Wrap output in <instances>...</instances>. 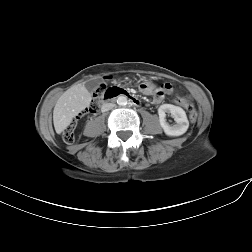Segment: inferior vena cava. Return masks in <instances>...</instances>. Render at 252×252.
Segmentation results:
<instances>
[{
	"mask_svg": "<svg viewBox=\"0 0 252 252\" xmlns=\"http://www.w3.org/2000/svg\"><path fill=\"white\" fill-rule=\"evenodd\" d=\"M114 106H115V104H113V103H104L102 105L101 110H102V112H106V111L112 109Z\"/></svg>",
	"mask_w": 252,
	"mask_h": 252,
	"instance_id": "inferior-vena-cava-1",
	"label": "inferior vena cava"
}]
</instances>
